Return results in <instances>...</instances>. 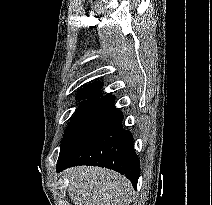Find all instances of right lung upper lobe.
Returning a JSON list of instances; mask_svg holds the SVG:
<instances>
[{
	"instance_id": "1",
	"label": "right lung upper lobe",
	"mask_w": 212,
	"mask_h": 205,
	"mask_svg": "<svg viewBox=\"0 0 212 205\" xmlns=\"http://www.w3.org/2000/svg\"><path fill=\"white\" fill-rule=\"evenodd\" d=\"M101 83L96 82L95 84L88 85L86 88H83L78 94V99H85V98H93V97H100L101 93Z\"/></svg>"
}]
</instances>
